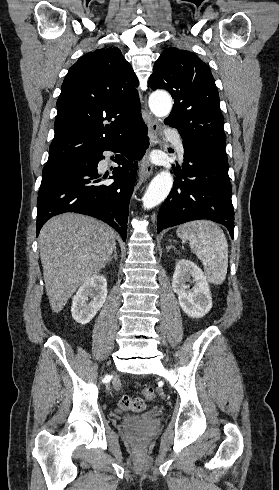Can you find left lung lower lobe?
I'll return each instance as SVG.
<instances>
[{
    "mask_svg": "<svg viewBox=\"0 0 279 490\" xmlns=\"http://www.w3.org/2000/svg\"><path fill=\"white\" fill-rule=\"evenodd\" d=\"M182 141L184 164L175 173L174 186L159 211L157 232L207 219L224 225L233 238L234 209L225 150L200 139L182 136Z\"/></svg>",
    "mask_w": 279,
    "mask_h": 490,
    "instance_id": "1",
    "label": "left lung lower lobe"
}]
</instances>
